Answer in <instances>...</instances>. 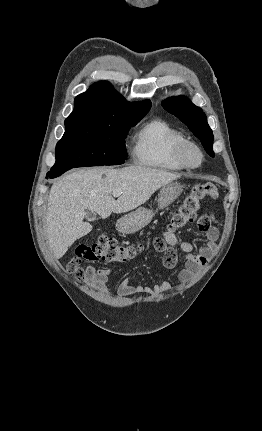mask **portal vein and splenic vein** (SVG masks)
<instances>
[{
  "instance_id": "1",
  "label": "portal vein and splenic vein",
  "mask_w": 262,
  "mask_h": 431,
  "mask_svg": "<svg viewBox=\"0 0 262 431\" xmlns=\"http://www.w3.org/2000/svg\"><path fill=\"white\" fill-rule=\"evenodd\" d=\"M121 195V192L120 191H114L113 193H112V196H114V197H119Z\"/></svg>"
}]
</instances>
